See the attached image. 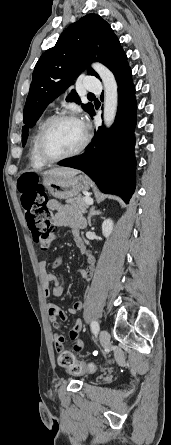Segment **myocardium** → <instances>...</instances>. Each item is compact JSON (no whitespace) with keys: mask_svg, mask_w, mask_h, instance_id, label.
<instances>
[{"mask_svg":"<svg viewBox=\"0 0 171 445\" xmlns=\"http://www.w3.org/2000/svg\"><path fill=\"white\" fill-rule=\"evenodd\" d=\"M75 121L78 122L79 124H81V126L83 127V131H84V137L83 140L81 142V144L73 151L61 155V156H57V157H51L49 156L45 150H44V139L45 136L47 134V132L49 131V129L55 125L58 122L61 121ZM90 141V133L88 130V127L86 125V123L78 116L74 115V114H70V113H62V114H58V115H54L52 117H50L42 126L39 135L37 137V142H36V151L37 154L39 156V158L45 162V163H56V162H60L62 160L68 159V158H72L75 157L79 154H81L85 148L87 147L88 143Z\"/></svg>","mask_w":171,"mask_h":445,"instance_id":"f54148a6","label":"myocardium"}]
</instances>
